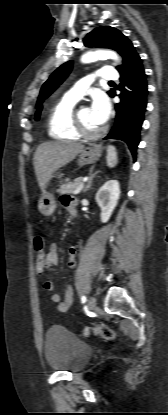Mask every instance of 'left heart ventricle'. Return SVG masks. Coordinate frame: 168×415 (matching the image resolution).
<instances>
[{
	"label": "left heart ventricle",
	"instance_id": "b2bd125f",
	"mask_svg": "<svg viewBox=\"0 0 168 415\" xmlns=\"http://www.w3.org/2000/svg\"><path fill=\"white\" fill-rule=\"evenodd\" d=\"M78 115L85 125V127L91 131H96L101 128V125L97 124L91 115L89 107H81L78 109Z\"/></svg>",
	"mask_w": 168,
	"mask_h": 415
}]
</instances>
